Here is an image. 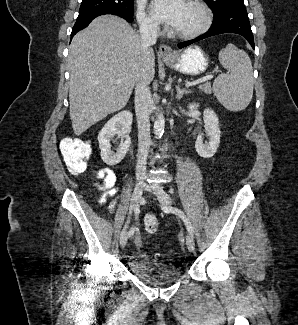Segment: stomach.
Masks as SVG:
<instances>
[{
    "mask_svg": "<svg viewBox=\"0 0 298 325\" xmlns=\"http://www.w3.org/2000/svg\"><path fill=\"white\" fill-rule=\"evenodd\" d=\"M161 58L162 62H165L173 70H177L181 74H191V76L203 74L209 66L208 54L197 44H191V46H186L182 50H176L172 58H163V56Z\"/></svg>",
    "mask_w": 298,
    "mask_h": 325,
    "instance_id": "obj_1",
    "label": "stomach"
}]
</instances>
